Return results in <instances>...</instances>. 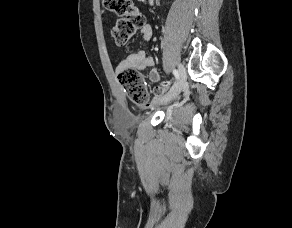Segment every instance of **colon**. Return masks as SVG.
<instances>
[{
	"label": "colon",
	"instance_id": "5ec220e1",
	"mask_svg": "<svg viewBox=\"0 0 292 228\" xmlns=\"http://www.w3.org/2000/svg\"><path fill=\"white\" fill-rule=\"evenodd\" d=\"M105 8L120 18L112 28V37L118 45L126 44L137 29L145 24V18L131 0H103ZM118 80L128 98L142 105L148 95L142 74L136 69H125L118 74Z\"/></svg>",
	"mask_w": 292,
	"mask_h": 228
}]
</instances>
